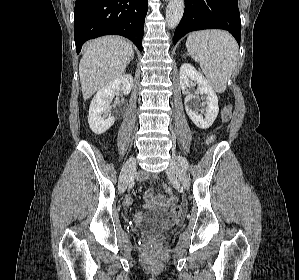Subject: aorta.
<instances>
[{
  "label": "aorta",
  "mask_w": 299,
  "mask_h": 280,
  "mask_svg": "<svg viewBox=\"0 0 299 280\" xmlns=\"http://www.w3.org/2000/svg\"><path fill=\"white\" fill-rule=\"evenodd\" d=\"M184 0H169L166 10V23L169 28H175L184 12Z\"/></svg>",
  "instance_id": "762f6f07"
}]
</instances>
